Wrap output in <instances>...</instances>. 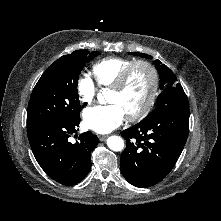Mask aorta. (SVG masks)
<instances>
[{"label":"aorta","mask_w":221,"mask_h":221,"mask_svg":"<svg viewBox=\"0 0 221 221\" xmlns=\"http://www.w3.org/2000/svg\"><path fill=\"white\" fill-rule=\"evenodd\" d=\"M101 96L102 95H99V98H101ZM107 146L113 151H121L124 148V141L119 136H110L107 139Z\"/></svg>","instance_id":"aorta-1"}]
</instances>
